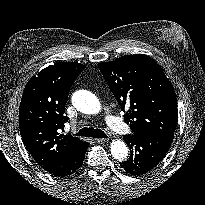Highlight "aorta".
Masks as SVG:
<instances>
[{"label":"aorta","mask_w":205,"mask_h":205,"mask_svg":"<svg viewBox=\"0 0 205 205\" xmlns=\"http://www.w3.org/2000/svg\"><path fill=\"white\" fill-rule=\"evenodd\" d=\"M73 106L85 114H97L101 110L99 99L90 91L78 90L71 98ZM110 151L112 156L118 161H124L128 157V148L121 140H114L111 143Z\"/></svg>","instance_id":"aorta-1"}]
</instances>
